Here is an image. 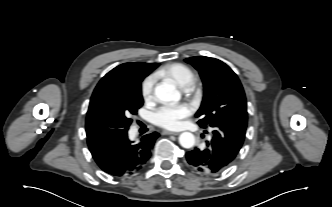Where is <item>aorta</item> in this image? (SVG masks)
Returning <instances> with one entry per match:
<instances>
[{
  "instance_id": "aorta-1",
  "label": "aorta",
  "mask_w": 332,
  "mask_h": 207,
  "mask_svg": "<svg viewBox=\"0 0 332 207\" xmlns=\"http://www.w3.org/2000/svg\"><path fill=\"white\" fill-rule=\"evenodd\" d=\"M155 95L161 102H178L181 98L180 92L175 86L168 83L157 85ZM179 143L184 148H192L195 144V137L190 132H183L179 136Z\"/></svg>"
}]
</instances>
